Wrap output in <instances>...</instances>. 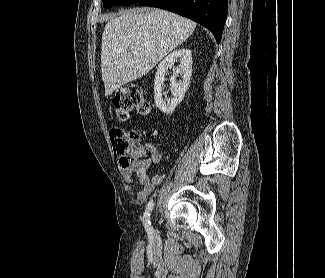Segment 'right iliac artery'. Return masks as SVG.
I'll return each instance as SVG.
<instances>
[{"label":"right iliac artery","mask_w":325,"mask_h":278,"mask_svg":"<svg viewBox=\"0 0 325 278\" xmlns=\"http://www.w3.org/2000/svg\"><path fill=\"white\" fill-rule=\"evenodd\" d=\"M153 205H154L153 200H150L146 206L144 217H143V224L148 234L153 233V228L150 222V213L153 209Z\"/></svg>","instance_id":"82829eb1"}]
</instances>
